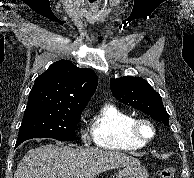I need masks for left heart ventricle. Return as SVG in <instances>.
<instances>
[{
  "label": "left heart ventricle",
  "instance_id": "b2bd125f",
  "mask_svg": "<svg viewBox=\"0 0 194 178\" xmlns=\"http://www.w3.org/2000/svg\"><path fill=\"white\" fill-rule=\"evenodd\" d=\"M144 134H145L146 136H149V135H150L149 130H148V129H144Z\"/></svg>",
  "mask_w": 194,
  "mask_h": 178
}]
</instances>
